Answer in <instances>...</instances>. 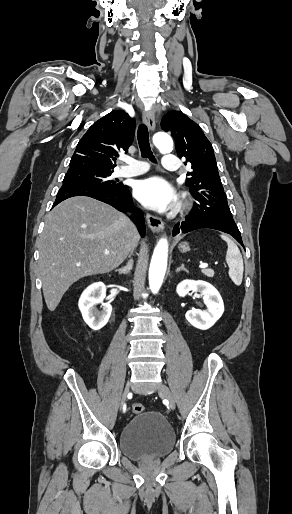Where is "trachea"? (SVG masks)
Listing matches in <instances>:
<instances>
[{
    "instance_id": "3493384b",
    "label": "trachea",
    "mask_w": 292,
    "mask_h": 514,
    "mask_svg": "<svg viewBox=\"0 0 292 514\" xmlns=\"http://www.w3.org/2000/svg\"><path fill=\"white\" fill-rule=\"evenodd\" d=\"M137 140L143 158H148L151 162L157 163L150 148L149 132L146 125H140L137 131Z\"/></svg>"
}]
</instances>
